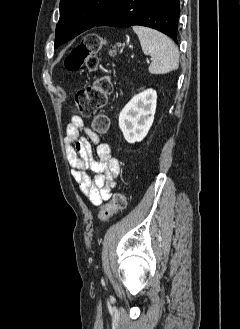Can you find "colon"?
Here are the masks:
<instances>
[{
    "label": "colon",
    "mask_w": 240,
    "mask_h": 329,
    "mask_svg": "<svg viewBox=\"0 0 240 329\" xmlns=\"http://www.w3.org/2000/svg\"><path fill=\"white\" fill-rule=\"evenodd\" d=\"M102 48V39L97 34L85 35L65 58V67L71 72H79L83 68L97 69L99 60L96 54ZM112 90V83L107 77L95 79L85 89L77 92L74 98L75 112L82 117H91L107 104L108 95ZM109 117L105 113L95 116L93 129L99 134L107 131ZM127 200L123 192H115L110 201L98 213L101 221H106L114 214L126 208Z\"/></svg>",
    "instance_id": "1"
}]
</instances>
